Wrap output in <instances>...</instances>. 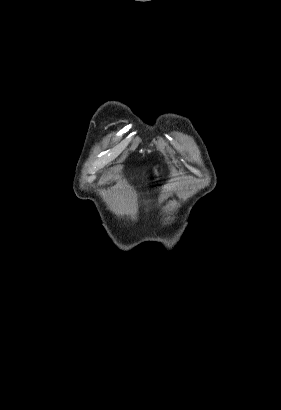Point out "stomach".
Here are the masks:
<instances>
[{
  "instance_id": "stomach-1",
  "label": "stomach",
  "mask_w": 281,
  "mask_h": 410,
  "mask_svg": "<svg viewBox=\"0 0 281 410\" xmlns=\"http://www.w3.org/2000/svg\"><path fill=\"white\" fill-rule=\"evenodd\" d=\"M153 173H154V175H156V176H160V175H162L163 173H164V169H163V167H162V165H156L154 168H153Z\"/></svg>"
}]
</instances>
